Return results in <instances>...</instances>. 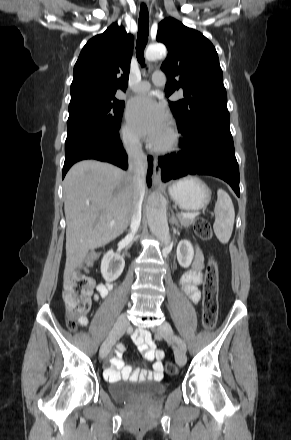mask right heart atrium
<instances>
[{
	"instance_id": "d8ad5b80",
	"label": "right heart atrium",
	"mask_w": 291,
	"mask_h": 440,
	"mask_svg": "<svg viewBox=\"0 0 291 440\" xmlns=\"http://www.w3.org/2000/svg\"><path fill=\"white\" fill-rule=\"evenodd\" d=\"M121 140L125 148L129 149L138 145V138L129 125L125 124L121 130Z\"/></svg>"
}]
</instances>
